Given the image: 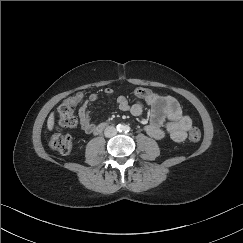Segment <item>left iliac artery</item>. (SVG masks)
Returning a JSON list of instances; mask_svg holds the SVG:
<instances>
[{"mask_svg": "<svg viewBox=\"0 0 243 243\" xmlns=\"http://www.w3.org/2000/svg\"><path fill=\"white\" fill-rule=\"evenodd\" d=\"M125 130H126V131H130V127L127 126V127L125 128Z\"/></svg>", "mask_w": 243, "mask_h": 243, "instance_id": "1", "label": "left iliac artery"}]
</instances>
